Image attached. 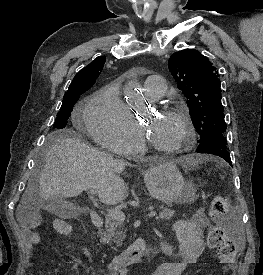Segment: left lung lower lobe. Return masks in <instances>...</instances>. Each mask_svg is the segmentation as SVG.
<instances>
[{
    "label": "left lung lower lobe",
    "mask_w": 263,
    "mask_h": 275,
    "mask_svg": "<svg viewBox=\"0 0 263 275\" xmlns=\"http://www.w3.org/2000/svg\"><path fill=\"white\" fill-rule=\"evenodd\" d=\"M196 152L217 155L231 164L230 153L224 134L215 135L199 143Z\"/></svg>",
    "instance_id": "left-lung-lower-lobe-1"
}]
</instances>
